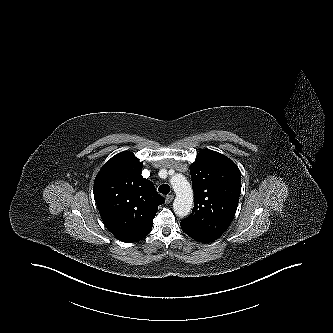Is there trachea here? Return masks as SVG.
Instances as JSON below:
<instances>
[{
    "instance_id": "obj_1",
    "label": "trachea",
    "mask_w": 333,
    "mask_h": 333,
    "mask_svg": "<svg viewBox=\"0 0 333 333\" xmlns=\"http://www.w3.org/2000/svg\"><path fill=\"white\" fill-rule=\"evenodd\" d=\"M158 191L161 193V194H168L170 192V186L167 185V184H162L159 186L158 188Z\"/></svg>"
}]
</instances>
